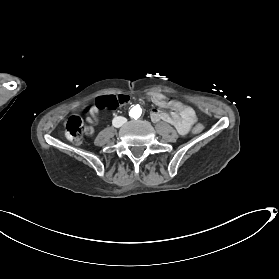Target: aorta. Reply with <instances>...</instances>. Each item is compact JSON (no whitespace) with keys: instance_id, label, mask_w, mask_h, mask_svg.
Wrapping results in <instances>:
<instances>
[{"instance_id":"762f6f07","label":"aorta","mask_w":279,"mask_h":279,"mask_svg":"<svg viewBox=\"0 0 279 279\" xmlns=\"http://www.w3.org/2000/svg\"><path fill=\"white\" fill-rule=\"evenodd\" d=\"M141 114H142V109H141V107L140 106H134L131 110H130V112H129V116L131 117V118H134V119H137V118H139L140 116H141Z\"/></svg>"}]
</instances>
